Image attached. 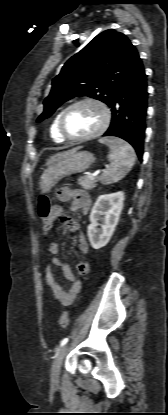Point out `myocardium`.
<instances>
[{
    "instance_id": "obj_1",
    "label": "myocardium",
    "mask_w": 168,
    "mask_h": 415,
    "mask_svg": "<svg viewBox=\"0 0 168 415\" xmlns=\"http://www.w3.org/2000/svg\"><path fill=\"white\" fill-rule=\"evenodd\" d=\"M84 103L94 104V105H96L100 108V110L102 112V115H103L102 123L99 126V128L91 134L81 136V137L71 136L67 133V131L65 129V124L64 123H65L66 114L73 107L84 104ZM110 121H111L110 109L103 101H101L99 99H96V98H92V97H85V98L79 99V100L71 103L70 105H68L66 108H64L61 111L59 121H58V129H59V132H60L61 136L65 140L70 141V142H84V141L95 139V138L99 137L100 135H102L107 130V128L109 127Z\"/></svg>"
}]
</instances>
